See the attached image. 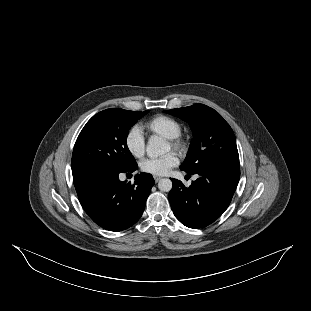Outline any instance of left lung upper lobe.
Returning a JSON list of instances; mask_svg holds the SVG:
<instances>
[{
  "instance_id": "1",
  "label": "left lung upper lobe",
  "mask_w": 311,
  "mask_h": 311,
  "mask_svg": "<svg viewBox=\"0 0 311 311\" xmlns=\"http://www.w3.org/2000/svg\"><path fill=\"white\" fill-rule=\"evenodd\" d=\"M164 112L188 122L193 131V139L187 157L180 166L181 170L192 174L214 165L239 164L233 130L214 109L195 104Z\"/></svg>"
}]
</instances>
